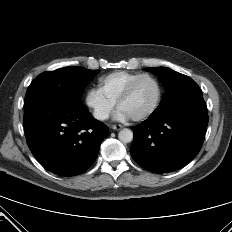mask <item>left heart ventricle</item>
<instances>
[{"mask_svg": "<svg viewBox=\"0 0 232 232\" xmlns=\"http://www.w3.org/2000/svg\"><path fill=\"white\" fill-rule=\"evenodd\" d=\"M157 96L155 83L148 78L142 79L136 86L132 96L120 108L131 117H136L147 112L154 104Z\"/></svg>", "mask_w": 232, "mask_h": 232, "instance_id": "1", "label": "left heart ventricle"}]
</instances>
